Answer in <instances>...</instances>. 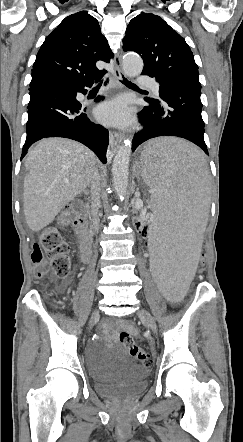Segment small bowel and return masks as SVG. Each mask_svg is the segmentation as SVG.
<instances>
[{"instance_id":"obj_1","label":"small bowel","mask_w":243,"mask_h":442,"mask_svg":"<svg viewBox=\"0 0 243 442\" xmlns=\"http://www.w3.org/2000/svg\"><path fill=\"white\" fill-rule=\"evenodd\" d=\"M125 328L135 332L134 328L124 321H119L116 325L105 322L102 327L101 339L108 345H113L117 340L118 329Z\"/></svg>"}]
</instances>
